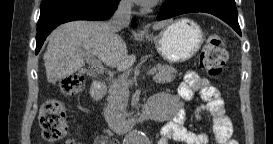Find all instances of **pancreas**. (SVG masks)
I'll return each mask as SVG.
<instances>
[{"mask_svg":"<svg viewBox=\"0 0 273 144\" xmlns=\"http://www.w3.org/2000/svg\"><path fill=\"white\" fill-rule=\"evenodd\" d=\"M155 69L157 73L153 80L156 83L164 84L172 82L177 73V70L173 66L167 64H157ZM122 81L127 82L126 88L121 86ZM131 84L132 80H118L117 84L109 87L107 104L104 107V118L110 129H117L126 121L122 109L124 101L129 94L128 87Z\"/></svg>","mask_w":273,"mask_h":144,"instance_id":"cf45deb5","label":"pancreas"}]
</instances>
